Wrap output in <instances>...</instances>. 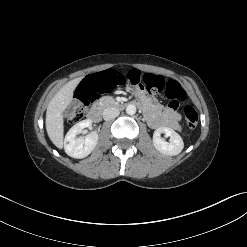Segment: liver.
Masks as SVG:
<instances>
[{
  "label": "liver",
  "mask_w": 247,
  "mask_h": 247,
  "mask_svg": "<svg viewBox=\"0 0 247 247\" xmlns=\"http://www.w3.org/2000/svg\"><path fill=\"white\" fill-rule=\"evenodd\" d=\"M80 78L69 81L51 99L46 111V130L53 144L62 149L64 136L63 112L73 99V92Z\"/></svg>",
  "instance_id": "6515ba94"
}]
</instances>
